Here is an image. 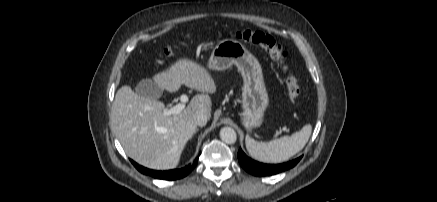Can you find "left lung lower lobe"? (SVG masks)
I'll return each mask as SVG.
<instances>
[{"label": "left lung lower lobe", "mask_w": 437, "mask_h": 202, "mask_svg": "<svg viewBox=\"0 0 437 202\" xmlns=\"http://www.w3.org/2000/svg\"><path fill=\"white\" fill-rule=\"evenodd\" d=\"M301 158L302 156L295 160L282 164H263L247 157L241 148L238 151V160L240 165L248 173L255 176H269V175H274L283 172L285 170L294 167L300 161Z\"/></svg>", "instance_id": "left-lung-lower-lobe-1"}]
</instances>
